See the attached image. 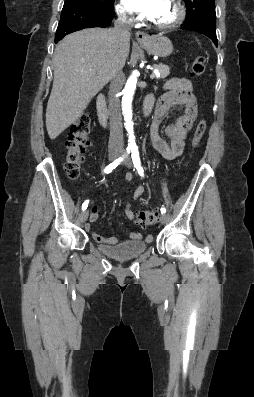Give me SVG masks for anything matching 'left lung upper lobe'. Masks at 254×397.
Listing matches in <instances>:
<instances>
[{"instance_id": "obj_1", "label": "left lung upper lobe", "mask_w": 254, "mask_h": 397, "mask_svg": "<svg viewBox=\"0 0 254 397\" xmlns=\"http://www.w3.org/2000/svg\"><path fill=\"white\" fill-rule=\"evenodd\" d=\"M188 8L204 11L208 9H215V0H184ZM196 4H193L195 3Z\"/></svg>"}]
</instances>
